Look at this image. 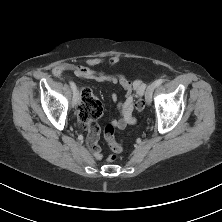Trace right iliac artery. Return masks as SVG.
<instances>
[{"instance_id":"right-iliac-artery-1","label":"right iliac artery","mask_w":222,"mask_h":222,"mask_svg":"<svg viewBox=\"0 0 222 222\" xmlns=\"http://www.w3.org/2000/svg\"><path fill=\"white\" fill-rule=\"evenodd\" d=\"M70 86H71L73 92H75V91H76V85H75V83L72 82V81H70Z\"/></svg>"}]
</instances>
